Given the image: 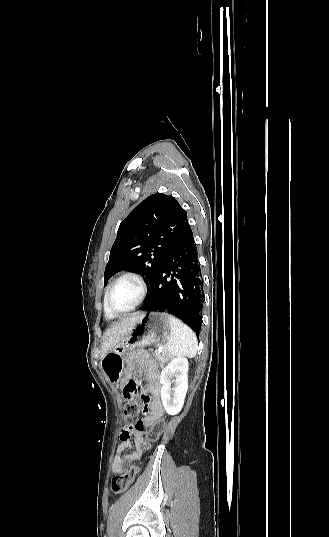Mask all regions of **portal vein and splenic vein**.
<instances>
[{
	"label": "portal vein and splenic vein",
	"mask_w": 329,
	"mask_h": 537,
	"mask_svg": "<svg viewBox=\"0 0 329 537\" xmlns=\"http://www.w3.org/2000/svg\"><path fill=\"white\" fill-rule=\"evenodd\" d=\"M162 350H163V347H159V348H158V351H162Z\"/></svg>",
	"instance_id": "18ae733b"
}]
</instances>
